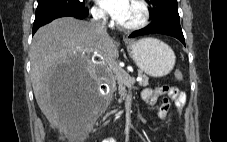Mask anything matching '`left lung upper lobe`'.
I'll list each match as a JSON object with an SVG mask.
<instances>
[{"label": "left lung upper lobe", "instance_id": "1", "mask_svg": "<svg viewBox=\"0 0 227 142\" xmlns=\"http://www.w3.org/2000/svg\"><path fill=\"white\" fill-rule=\"evenodd\" d=\"M152 4L149 9L152 22L168 21L180 24L177 0H146Z\"/></svg>", "mask_w": 227, "mask_h": 142}]
</instances>
